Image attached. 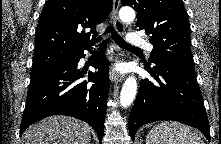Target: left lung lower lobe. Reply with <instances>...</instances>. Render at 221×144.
Masks as SVG:
<instances>
[{
    "instance_id": "1",
    "label": "left lung lower lobe",
    "mask_w": 221,
    "mask_h": 144,
    "mask_svg": "<svg viewBox=\"0 0 221 144\" xmlns=\"http://www.w3.org/2000/svg\"><path fill=\"white\" fill-rule=\"evenodd\" d=\"M145 68L155 78L141 81L129 117L130 136L144 124L174 120L199 129L210 141V127L195 68L172 62H155Z\"/></svg>"
}]
</instances>
